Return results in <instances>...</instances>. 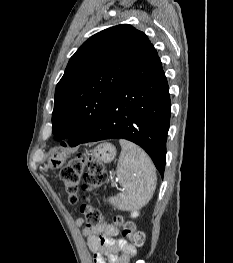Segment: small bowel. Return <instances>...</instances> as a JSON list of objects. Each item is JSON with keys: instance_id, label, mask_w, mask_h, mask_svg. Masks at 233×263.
I'll list each match as a JSON object with an SVG mask.
<instances>
[{"instance_id": "1", "label": "small bowel", "mask_w": 233, "mask_h": 263, "mask_svg": "<svg viewBox=\"0 0 233 263\" xmlns=\"http://www.w3.org/2000/svg\"><path fill=\"white\" fill-rule=\"evenodd\" d=\"M76 224L85 225L83 234L93 253L94 263H130L136 256V249L125 238L120 237L117 227L108 223L89 227L82 218H78Z\"/></svg>"}]
</instances>
